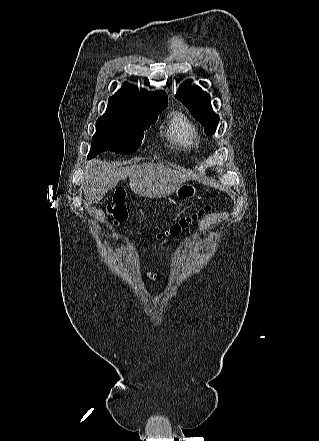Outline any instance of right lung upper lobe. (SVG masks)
<instances>
[{
  "instance_id": "1",
  "label": "right lung upper lobe",
  "mask_w": 319,
  "mask_h": 441,
  "mask_svg": "<svg viewBox=\"0 0 319 441\" xmlns=\"http://www.w3.org/2000/svg\"><path fill=\"white\" fill-rule=\"evenodd\" d=\"M167 105L165 92L147 93L137 87L124 84V88L109 98L107 110L151 109Z\"/></svg>"
}]
</instances>
